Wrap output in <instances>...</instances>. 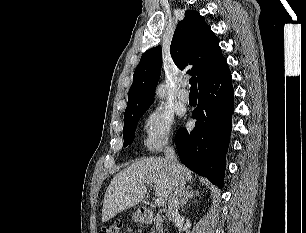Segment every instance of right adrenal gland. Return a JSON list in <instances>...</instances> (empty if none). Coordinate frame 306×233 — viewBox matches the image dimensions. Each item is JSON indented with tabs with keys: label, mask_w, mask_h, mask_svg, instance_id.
<instances>
[{
	"label": "right adrenal gland",
	"mask_w": 306,
	"mask_h": 233,
	"mask_svg": "<svg viewBox=\"0 0 306 233\" xmlns=\"http://www.w3.org/2000/svg\"><path fill=\"white\" fill-rule=\"evenodd\" d=\"M194 195H198V192L194 191L191 186H187L185 195L180 204L181 208H183L187 204L188 200H191Z\"/></svg>",
	"instance_id": "right-adrenal-gland-1"
}]
</instances>
